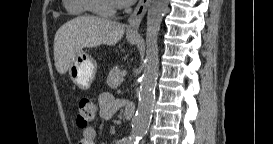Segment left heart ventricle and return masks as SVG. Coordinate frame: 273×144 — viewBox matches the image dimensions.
<instances>
[{
    "mask_svg": "<svg viewBox=\"0 0 273 144\" xmlns=\"http://www.w3.org/2000/svg\"><path fill=\"white\" fill-rule=\"evenodd\" d=\"M101 4L103 6H110V5L114 4V3H113L112 0H101Z\"/></svg>",
    "mask_w": 273,
    "mask_h": 144,
    "instance_id": "obj_1",
    "label": "left heart ventricle"
}]
</instances>
